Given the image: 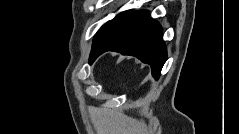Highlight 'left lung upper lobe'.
Listing matches in <instances>:
<instances>
[{
    "label": "left lung upper lobe",
    "instance_id": "obj_1",
    "mask_svg": "<svg viewBox=\"0 0 239 134\" xmlns=\"http://www.w3.org/2000/svg\"><path fill=\"white\" fill-rule=\"evenodd\" d=\"M106 24H107V23H106ZM106 24H104V25L99 29V31H101ZM99 31H98V32H99ZM98 32H97V33H98Z\"/></svg>",
    "mask_w": 239,
    "mask_h": 134
}]
</instances>
